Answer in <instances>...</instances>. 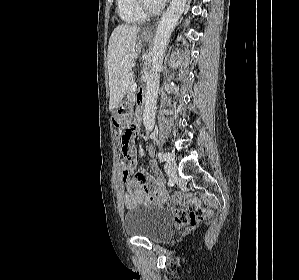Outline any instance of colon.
<instances>
[{"label": "colon", "mask_w": 299, "mask_h": 280, "mask_svg": "<svg viewBox=\"0 0 299 280\" xmlns=\"http://www.w3.org/2000/svg\"><path fill=\"white\" fill-rule=\"evenodd\" d=\"M134 132L131 128L120 130L117 133V141L120 152L124 157L121 164V178L126 181L135 167V159L132 152V138ZM175 222L182 226H194L211 215V211L202 207L198 200L191 201L189 208H172L171 209Z\"/></svg>", "instance_id": "colon-1"}]
</instances>
